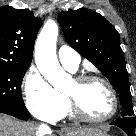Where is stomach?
Returning <instances> with one entry per match:
<instances>
[{
    "label": "stomach",
    "instance_id": "1",
    "mask_svg": "<svg viewBox=\"0 0 136 136\" xmlns=\"http://www.w3.org/2000/svg\"><path fill=\"white\" fill-rule=\"evenodd\" d=\"M77 136H83V135H77ZM88 136H108V135L105 132H103L102 130L98 129L93 134L88 135Z\"/></svg>",
    "mask_w": 136,
    "mask_h": 136
}]
</instances>
